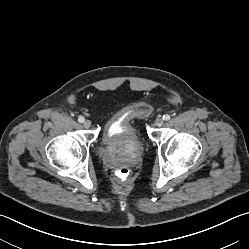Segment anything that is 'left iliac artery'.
I'll list each match as a JSON object with an SVG mask.
<instances>
[{"label": "left iliac artery", "instance_id": "obj_1", "mask_svg": "<svg viewBox=\"0 0 249 249\" xmlns=\"http://www.w3.org/2000/svg\"><path fill=\"white\" fill-rule=\"evenodd\" d=\"M163 120H165V121L170 120V115L165 114V115L163 116Z\"/></svg>", "mask_w": 249, "mask_h": 249}]
</instances>
